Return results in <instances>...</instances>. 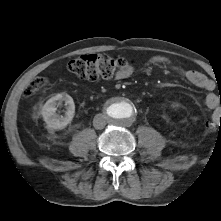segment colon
Instances as JSON below:
<instances>
[{"label": "colon", "instance_id": "5ec220e1", "mask_svg": "<svg viewBox=\"0 0 221 221\" xmlns=\"http://www.w3.org/2000/svg\"><path fill=\"white\" fill-rule=\"evenodd\" d=\"M129 66L125 58L112 57L105 53L80 56L68 64V69L82 79L97 80L99 78H112ZM46 85L44 78L33 80L27 87V95H33ZM207 128L221 129V109L216 110L207 122Z\"/></svg>", "mask_w": 221, "mask_h": 221}]
</instances>
